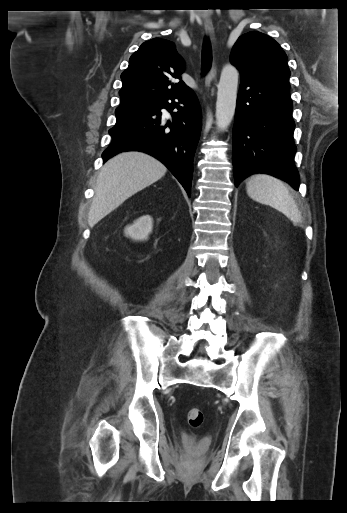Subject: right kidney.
I'll return each mask as SVG.
<instances>
[{"mask_svg": "<svg viewBox=\"0 0 347 513\" xmlns=\"http://www.w3.org/2000/svg\"><path fill=\"white\" fill-rule=\"evenodd\" d=\"M153 219L150 215H144L136 219L133 224L124 229L125 236L133 240H146L152 232Z\"/></svg>", "mask_w": 347, "mask_h": 513, "instance_id": "1", "label": "right kidney"}]
</instances>
